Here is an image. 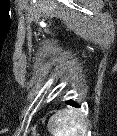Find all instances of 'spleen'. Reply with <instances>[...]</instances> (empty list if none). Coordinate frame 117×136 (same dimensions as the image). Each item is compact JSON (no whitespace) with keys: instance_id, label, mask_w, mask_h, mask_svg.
<instances>
[{"instance_id":"obj_1","label":"spleen","mask_w":117,"mask_h":136,"mask_svg":"<svg viewBox=\"0 0 117 136\" xmlns=\"http://www.w3.org/2000/svg\"><path fill=\"white\" fill-rule=\"evenodd\" d=\"M48 129L53 136H85L87 125L79 111L65 109L50 118Z\"/></svg>"}]
</instances>
